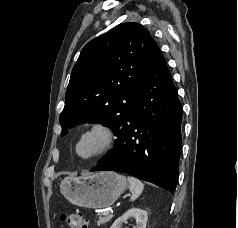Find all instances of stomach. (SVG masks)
Segmentation results:
<instances>
[{
    "instance_id": "1",
    "label": "stomach",
    "mask_w": 238,
    "mask_h": 228,
    "mask_svg": "<svg viewBox=\"0 0 238 228\" xmlns=\"http://www.w3.org/2000/svg\"><path fill=\"white\" fill-rule=\"evenodd\" d=\"M127 187L126 178L113 171L80 177L69 176L60 184L61 193L70 203L85 208L109 207Z\"/></svg>"
}]
</instances>
